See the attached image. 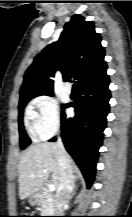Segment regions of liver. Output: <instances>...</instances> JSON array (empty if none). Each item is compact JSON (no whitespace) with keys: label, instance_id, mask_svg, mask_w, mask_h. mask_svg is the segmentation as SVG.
<instances>
[{"label":"liver","instance_id":"liver-1","mask_svg":"<svg viewBox=\"0 0 132 217\" xmlns=\"http://www.w3.org/2000/svg\"><path fill=\"white\" fill-rule=\"evenodd\" d=\"M57 143L44 142L31 145L20 157L18 164L19 197L21 200L39 192L48 178L58 189L60 170ZM73 172L77 170L71 160Z\"/></svg>","mask_w":132,"mask_h":217}]
</instances>
